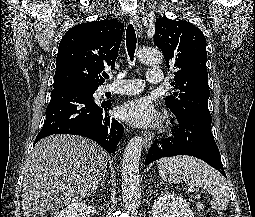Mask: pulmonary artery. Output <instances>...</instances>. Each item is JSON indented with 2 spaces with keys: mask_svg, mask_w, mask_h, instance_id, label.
<instances>
[{
  "mask_svg": "<svg viewBox=\"0 0 255 217\" xmlns=\"http://www.w3.org/2000/svg\"><path fill=\"white\" fill-rule=\"evenodd\" d=\"M146 79L150 83H162L164 80V74L160 68H151L146 74ZM118 80L119 82H123L124 85H110L106 87L105 90L119 95H134L140 93L143 90V83L140 79Z\"/></svg>",
  "mask_w": 255,
  "mask_h": 217,
  "instance_id": "pulmonary-artery-1",
  "label": "pulmonary artery"
}]
</instances>
